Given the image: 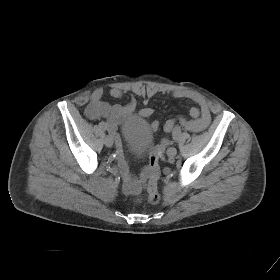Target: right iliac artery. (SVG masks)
Wrapping results in <instances>:
<instances>
[{
	"label": "right iliac artery",
	"instance_id": "right-iliac-artery-1",
	"mask_svg": "<svg viewBox=\"0 0 280 280\" xmlns=\"http://www.w3.org/2000/svg\"><path fill=\"white\" fill-rule=\"evenodd\" d=\"M99 126L102 130H106L107 129V123H105L104 121L99 123Z\"/></svg>",
	"mask_w": 280,
	"mask_h": 280
}]
</instances>
